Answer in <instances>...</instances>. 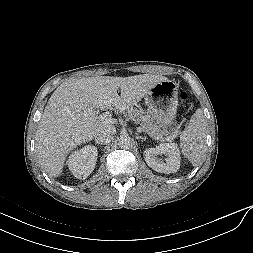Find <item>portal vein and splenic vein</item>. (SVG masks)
I'll list each match as a JSON object with an SVG mask.
<instances>
[{"instance_id":"1","label":"portal vein and splenic vein","mask_w":253,"mask_h":253,"mask_svg":"<svg viewBox=\"0 0 253 253\" xmlns=\"http://www.w3.org/2000/svg\"><path fill=\"white\" fill-rule=\"evenodd\" d=\"M99 119L100 120H111V114L110 112H105L103 114H101L99 116ZM149 136L152 138V139H156V140H159V141H172L173 140V137L172 136H168L166 138H163V137H158V136H154L153 134L149 133Z\"/></svg>"}]
</instances>
